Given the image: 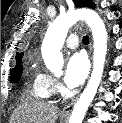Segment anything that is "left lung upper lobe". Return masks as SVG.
Returning a JSON list of instances; mask_svg holds the SVG:
<instances>
[{"instance_id": "obj_1", "label": "left lung upper lobe", "mask_w": 122, "mask_h": 123, "mask_svg": "<svg viewBox=\"0 0 122 123\" xmlns=\"http://www.w3.org/2000/svg\"><path fill=\"white\" fill-rule=\"evenodd\" d=\"M75 5L78 7H90L94 8L95 5L91 0H73Z\"/></svg>"}]
</instances>
